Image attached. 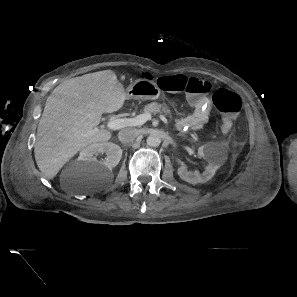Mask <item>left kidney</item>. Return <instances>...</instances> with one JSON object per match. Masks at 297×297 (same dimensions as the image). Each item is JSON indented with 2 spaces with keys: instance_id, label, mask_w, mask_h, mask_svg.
Returning a JSON list of instances; mask_svg holds the SVG:
<instances>
[{
  "instance_id": "5707ae66",
  "label": "left kidney",
  "mask_w": 297,
  "mask_h": 297,
  "mask_svg": "<svg viewBox=\"0 0 297 297\" xmlns=\"http://www.w3.org/2000/svg\"><path fill=\"white\" fill-rule=\"evenodd\" d=\"M197 154L199 157L207 161L205 171L201 174L199 171H189L185 166H180L177 169L179 177L190 183L198 184L209 181L215 174L216 170L223 164V159L218 155L215 148L210 144H205L198 148Z\"/></svg>"
}]
</instances>
